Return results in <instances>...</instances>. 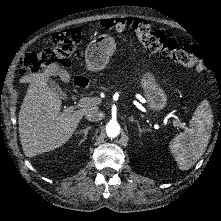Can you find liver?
<instances>
[{
  "label": "liver",
  "mask_w": 221,
  "mask_h": 221,
  "mask_svg": "<svg viewBox=\"0 0 221 221\" xmlns=\"http://www.w3.org/2000/svg\"><path fill=\"white\" fill-rule=\"evenodd\" d=\"M57 75L70 82V74L55 63L29 80L30 85L20 106L19 137L27 157L54 150L65 144L91 106L73 113L61 112L62 101L48 87L49 77ZM97 108V107H96Z\"/></svg>",
  "instance_id": "obj_1"
}]
</instances>
